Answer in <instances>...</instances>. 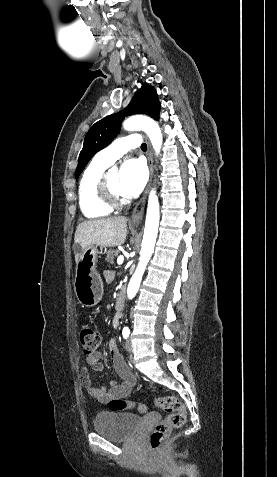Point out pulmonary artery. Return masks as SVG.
Returning a JSON list of instances; mask_svg holds the SVG:
<instances>
[{"label":"pulmonary artery","instance_id":"e3ab8cb5","mask_svg":"<svg viewBox=\"0 0 277 477\" xmlns=\"http://www.w3.org/2000/svg\"><path fill=\"white\" fill-rule=\"evenodd\" d=\"M140 145V136L131 134L115 140L111 145L101 150L95 160L106 166L112 165L117 159L123 156L128 150Z\"/></svg>","mask_w":277,"mask_h":477}]
</instances>
